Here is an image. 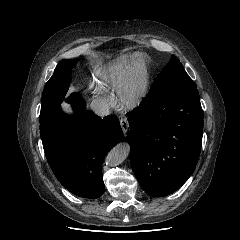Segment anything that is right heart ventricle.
<instances>
[{
    "instance_id": "e07e8e85",
    "label": "right heart ventricle",
    "mask_w": 240,
    "mask_h": 240,
    "mask_svg": "<svg viewBox=\"0 0 240 240\" xmlns=\"http://www.w3.org/2000/svg\"><path fill=\"white\" fill-rule=\"evenodd\" d=\"M130 65H133L137 70L144 68V60L142 55L140 54H136L133 56L125 55L108 64L99 73L100 85L106 87L118 86L125 70Z\"/></svg>"
}]
</instances>
